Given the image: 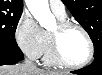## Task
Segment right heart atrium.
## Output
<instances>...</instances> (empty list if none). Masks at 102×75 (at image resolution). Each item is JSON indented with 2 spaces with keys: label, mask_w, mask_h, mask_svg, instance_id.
Returning a JSON list of instances; mask_svg holds the SVG:
<instances>
[{
  "label": "right heart atrium",
  "mask_w": 102,
  "mask_h": 75,
  "mask_svg": "<svg viewBox=\"0 0 102 75\" xmlns=\"http://www.w3.org/2000/svg\"><path fill=\"white\" fill-rule=\"evenodd\" d=\"M14 35L17 44L30 59L38 60L42 57L45 48L43 30L29 13L21 15Z\"/></svg>",
  "instance_id": "right-heart-atrium-1"
}]
</instances>
